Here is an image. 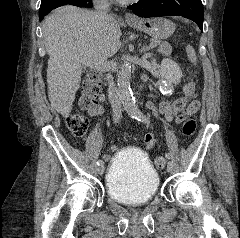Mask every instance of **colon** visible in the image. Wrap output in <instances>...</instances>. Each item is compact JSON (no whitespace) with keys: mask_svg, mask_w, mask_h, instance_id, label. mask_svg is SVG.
Listing matches in <instances>:
<instances>
[{"mask_svg":"<svg viewBox=\"0 0 240 238\" xmlns=\"http://www.w3.org/2000/svg\"><path fill=\"white\" fill-rule=\"evenodd\" d=\"M102 86V75L100 72L90 73L84 81L80 105L82 108L89 109L97 101ZM195 92V83L191 77H187L183 86V93L190 97ZM66 125L69 131L76 137L85 135L88 129V119L80 112H73L66 118ZM196 130V119L194 115H189L184 119L182 132L185 136H191ZM166 160L163 157L155 159V167L162 170Z\"/></svg>","mask_w":240,"mask_h":238,"instance_id":"obj_1","label":"colon"}]
</instances>
